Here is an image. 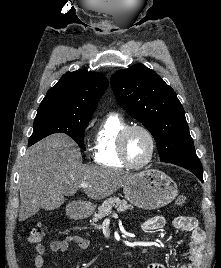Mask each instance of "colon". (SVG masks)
<instances>
[{
    "instance_id": "colon-1",
    "label": "colon",
    "mask_w": 221,
    "mask_h": 268,
    "mask_svg": "<svg viewBox=\"0 0 221 268\" xmlns=\"http://www.w3.org/2000/svg\"><path fill=\"white\" fill-rule=\"evenodd\" d=\"M187 198L185 196H179L175 200L177 206H182L186 203ZM45 227L42 224H38L36 227L32 228L27 236V240L30 243L36 244L40 242L45 236Z\"/></svg>"
}]
</instances>
